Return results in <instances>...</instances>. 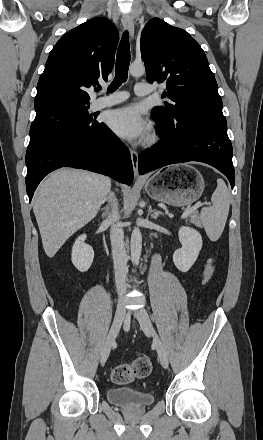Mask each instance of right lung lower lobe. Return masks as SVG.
Instances as JSON below:
<instances>
[{
  "instance_id": "1",
  "label": "right lung lower lobe",
  "mask_w": 263,
  "mask_h": 440,
  "mask_svg": "<svg viewBox=\"0 0 263 440\" xmlns=\"http://www.w3.org/2000/svg\"><path fill=\"white\" fill-rule=\"evenodd\" d=\"M26 165L30 201L40 181L61 167L108 175L127 185L133 182L129 150L104 123L85 130L62 132L28 148Z\"/></svg>"
}]
</instances>
